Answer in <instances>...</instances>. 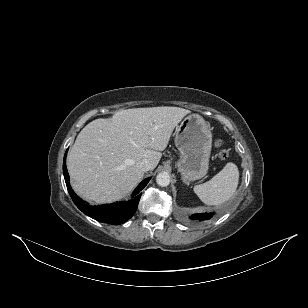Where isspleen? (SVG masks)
I'll return each mask as SVG.
<instances>
[{
	"mask_svg": "<svg viewBox=\"0 0 308 308\" xmlns=\"http://www.w3.org/2000/svg\"><path fill=\"white\" fill-rule=\"evenodd\" d=\"M239 171L234 163L224 168L209 181L194 186V192L207 205H220L228 201L236 192Z\"/></svg>",
	"mask_w": 308,
	"mask_h": 308,
	"instance_id": "3e777b00",
	"label": "spleen"
}]
</instances>
